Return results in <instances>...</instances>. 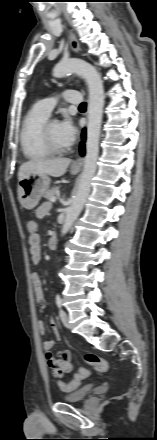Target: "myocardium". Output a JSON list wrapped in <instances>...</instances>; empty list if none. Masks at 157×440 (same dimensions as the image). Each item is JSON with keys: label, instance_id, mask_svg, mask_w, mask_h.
<instances>
[{"label": "myocardium", "instance_id": "1", "mask_svg": "<svg viewBox=\"0 0 157 440\" xmlns=\"http://www.w3.org/2000/svg\"><path fill=\"white\" fill-rule=\"evenodd\" d=\"M52 122L53 121L48 120L43 124L42 129H41L42 140L50 153H53V154L65 153L69 150V147L68 146H65V147L58 146L57 144L54 143V141L51 138V135L49 132V126Z\"/></svg>", "mask_w": 157, "mask_h": 440}]
</instances>
